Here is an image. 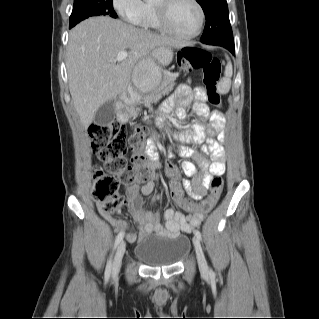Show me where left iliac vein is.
Masks as SVG:
<instances>
[{
	"label": "left iliac vein",
	"mask_w": 319,
	"mask_h": 319,
	"mask_svg": "<svg viewBox=\"0 0 319 319\" xmlns=\"http://www.w3.org/2000/svg\"><path fill=\"white\" fill-rule=\"evenodd\" d=\"M193 244H194V247H195L196 257H197V261H198V265H199L200 271L203 274H207L208 273L207 261L205 259L204 254H203L200 242H199V240L196 237L193 238Z\"/></svg>",
	"instance_id": "left-iliac-vein-1"
}]
</instances>
